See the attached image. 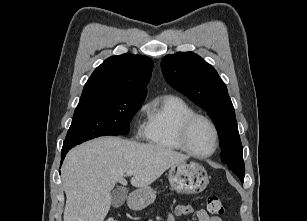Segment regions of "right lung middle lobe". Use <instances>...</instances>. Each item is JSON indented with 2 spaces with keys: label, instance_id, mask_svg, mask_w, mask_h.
I'll return each mask as SVG.
<instances>
[{
  "label": "right lung middle lobe",
  "instance_id": "obj_1",
  "mask_svg": "<svg viewBox=\"0 0 307 221\" xmlns=\"http://www.w3.org/2000/svg\"><path fill=\"white\" fill-rule=\"evenodd\" d=\"M144 97L102 96L79 102L62 151L99 136L129 133V123Z\"/></svg>",
  "mask_w": 307,
  "mask_h": 221
}]
</instances>
